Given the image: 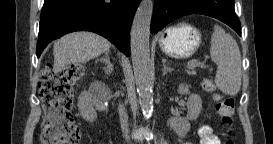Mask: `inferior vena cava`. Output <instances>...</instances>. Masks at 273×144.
Segmentation results:
<instances>
[{"label":"inferior vena cava","mask_w":273,"mask_h":144,"mask_svg":"<svg viewBox=\"0 0 273 144\" xmlns=\"http://www.w3.org/2000/svg\"><path fill=\"white\" fill-rule=\"evenodd\" d=\"M118 111H119V116H120V123H121L122 132H123L126 140H128L129 139V136H128V132H129L128 131V116L125 111L124 105L119 104Z\"/></svg>","instance_id":"obj_1"}]
</instances>
